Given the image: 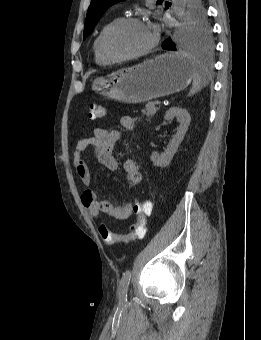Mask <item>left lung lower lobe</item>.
<instances>
[{
	"instance_id": "0a47b994",
	"label": "left lung lower lobe",
	"mask_w": 261,
	"mask_h": 340,
	"mask_svg": "<svg viewBox=\"0 0 261 340\" xmlns=\"http://www.w3.org/2000/svg\"><path fill=\"white\" fill-rule=\"evenodd\" d=\"M162 48L166 49V50H172L175 51L176 50V45L174 42L171 41V39H166L163 44H162Z\"/></svg>"
}]
</instances>
